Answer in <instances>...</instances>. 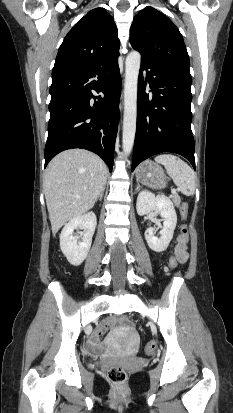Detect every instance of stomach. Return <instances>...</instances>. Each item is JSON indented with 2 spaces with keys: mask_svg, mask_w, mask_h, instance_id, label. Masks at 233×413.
<instances>
[{
  "mask_svg": "<svg viewBox=\"0 0 233 413\" xmlns=\"http://www.w3.org/2000/svg\"><path fill=\"white\" fill-rule=\"evenodd\" d=\"M137 181L150 188H164L167 177L164 170L158 164L147 160L143 162L136 170Z\"/></svg>",
  "mask_w": 233,
  "mask_h": 413,
  "instance_id": "0dacf381",
  "label": "stomach"
}]
</instances>
